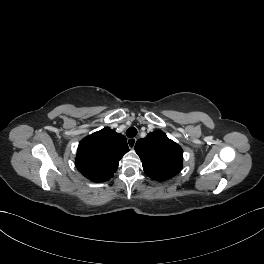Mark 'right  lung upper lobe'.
Returning a JSON list of instances; mask_svg holds the SVG:
<instances>
[{
    "label": "right lung upper lobe",
    "instance_id": "right-lung-upper-lobe-1",
    "mask_svg": "<svg viewBox=\"0 0 264 264\" xmlns=\"http://www.w3.org/2000/svg\"><path fill=\"white\" fill-rule=\"evenodd\" d=\"M128 151L126 137L109 128H103L81 140L76 167L88 179L105 182L113 176L120 159Z\"/></svg>",
    "mask_w": 264,
    "mask_h": 264
}]
</instances>
